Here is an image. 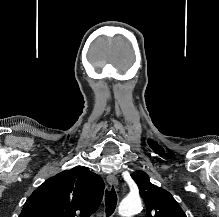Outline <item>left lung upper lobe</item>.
Here are the masks:
<instances>
[{"mask_svg":"<svg viewBox=\"0 0 219 217\" xmlns=\"http://www.w3.org/2000/svg\"><path fill=\"white\" fill-rule=\"evenodd\" d=\"M131 177L137 183L146 204V217H186L173 196L163 188L152 184L144 171L137 170Z\"/></svg>","mask_w":219,"mask_h":217,"instance_id":"1","label":"left lung upper lobe"}]
</instances>
